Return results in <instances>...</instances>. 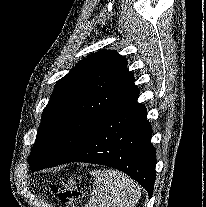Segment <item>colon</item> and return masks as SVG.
Masks as SVG:
<instances>
[{"label":"colon","mask_w":206,"mask_h":207,"mask_svg":"<svg viewBox=\"0 0 206 207\" xmlns=\"http://www.w3.org/2000/svg\"><path fill=\"white\" fill-rule=\"evenodd\" d=\"M52 190L58 196L63 207H78L82 194L73 180L63 179L53 185Z\"/></svg>","instance_id":"obj_1"}]
</instances>
